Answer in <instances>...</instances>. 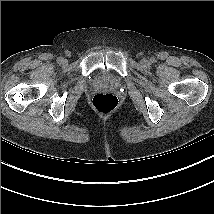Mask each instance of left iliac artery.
I'll list each match as a JSON object with an SVG mask.
<instances>
[{
  "label": "left iliac artery",
  "instance_id": "obj_1",
  "mask_svg": "<svg viewBox=\"0 0 214 214\" xmlns=\"http://www.w3.org/2000/svg\"><path fill=\"white\" fill-rule=\"evenodd\" d=\"M150 60H151L152 63L154 62V59L151 58Z\"/></svg>",
  "mask_w": 214,
  "mask_h": 214
}]
</instances>
